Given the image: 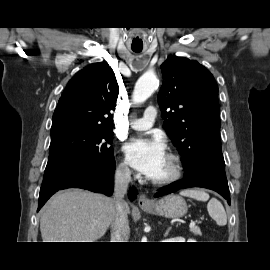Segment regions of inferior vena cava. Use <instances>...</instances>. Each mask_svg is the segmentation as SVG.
<instances>
[{"label":"inferior vena cava","mask_w":270,"mask_h":270,"mask_svg":"<svg viewBox=\"0 0 270 270\" xmlns=\"http://www.w3.org/2000/svg\"><path fill=\"white\" fill-rule=\"evenodd\" d=\"M131 180L130 170L126 165H120L114 175L115 209L111 219V242H127L130 234L127 203L124 195Z\"/></svg>","instance_id":"1"}]
</instances>
